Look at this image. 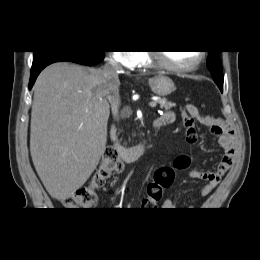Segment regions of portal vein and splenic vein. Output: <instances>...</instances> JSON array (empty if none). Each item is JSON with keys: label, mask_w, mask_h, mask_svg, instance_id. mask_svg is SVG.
<instances>
[{"label": "portal vein and splenic vein", "mask_w": 260, "mask_h": 260, "mask_svg": "<svg viewBox=\"0 0 260 260\" xmlns=\"http://www.w3.org/2000/svg\"><path fill=\"white\" fill-rule=\"evenodd\" d=\"M156 105H157L156 101H151L149 103V106L152 107V108L156 107Z\"/></svg>", "instance_id": "portal-vein-and-splenic-vein-1"}]
</instances>
